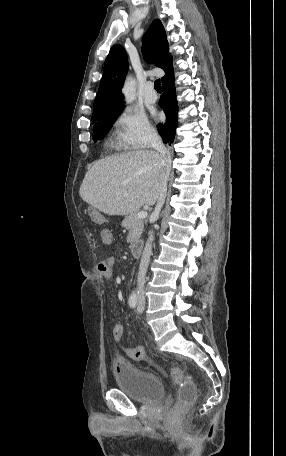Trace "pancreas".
Instances as JSON below:
<instances>
[{
	"label": "pancreas",
	"instance_id": "obj_1",
	"mask_svg": "<svg viewBox=\"0 0 286 456\" xmlns=\"http://www.w3.org/2000/svg\"><path fill=\"white\" fill-rule=\"evenodd\" d=\"M122 227L129 230L127 236L128 243H135L139 241L144 229V222L137 217L136 213H131L122 222Z\"/></svg>",
	"mask_w": 286,
	"mask_h": 456
}]
</instances>
